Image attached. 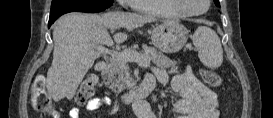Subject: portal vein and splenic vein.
Here are the masks:
<instances>
[{"label":"portal vein and splenic vein","instance_id":"1","mask_svg":"<svg viewBox=\"0 0 273 118\" xmlns=\"http://www.w3.org/2000/svg\"><path fill=\"white\" fill-rule=\"evenodd\" d=\"M108 46V45H107ZM96 50L107 51L111 56L120 58L121 60L128 62H137L139 65L143 66L149 60L148 56L139 54L137 52H117L105 48L102 44L93 45Z\"/></svg>","mask_w":273,"mask_h":118}]
</instances>
